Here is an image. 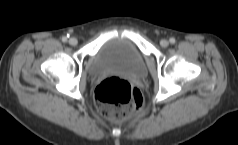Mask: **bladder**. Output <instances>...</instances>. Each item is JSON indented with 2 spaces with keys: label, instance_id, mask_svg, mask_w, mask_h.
<instances>
[{
  "label": "bladder",
  "instance_id": "1",
  "mask_svg": "<svg viewBox=\"0 0 238 145\" xmlns=\"http://www.w3.org/2000/svg\"><path fill=\"white\" fill-rule=\"evenodd\" d=\"M119 73L132 78H143L147 73L143 54L135 44L117 39L103 44L94 54L89 68L92 77Z\"/></svg>",
  "mask_w": 238,
  "mask_h": 145
}]
</instances>
